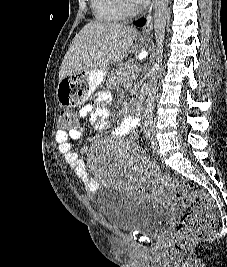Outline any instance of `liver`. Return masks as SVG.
Listing matches in <instances>:
<instances>
[{"label":"liver","instance_id":"1","mask_svg":"<svg viewBox=\"0 0 227 267\" xmlns=\"http://www.w3.org/2000/svg\"><path fill=\"white\" fill-rule=\"evenodd\" d=\"M133 27L115 22H89L74 38L60 67L61 77L72 73L105 69L119 63L126 66L124 53L137 37Z\"/></svg>","mask_w":227,"mask_h":267}]
</instances>
